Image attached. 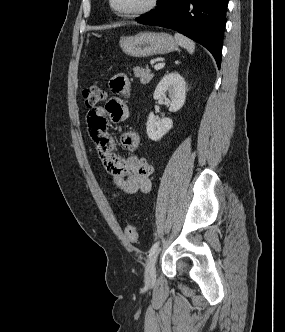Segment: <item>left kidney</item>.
Here are the masks:
<instances>
[{
	"mask_svg": "<svg viewBox=\"0 0 285 332\" xmlns=\"http://www.w3.org/2000/svg\"><path fill=\"white\" fill-rule=\"evenodd\" d=\"M169 98H167V95ZM153 98L162 100L169 104V111L176 112L182 108L186 98V83L184 78L178 72H172L165 75L158 83ZM173 121L170 118L158 119L154 113H150L146 123V130L149 139L153 141L160 140L171 128Z\"/></svg>",
	"mask_w": 285,
	"mask_h": 332,
	"instance_id": "left-kidney-1",
	"label": "left kidney"
}]
</instances>
